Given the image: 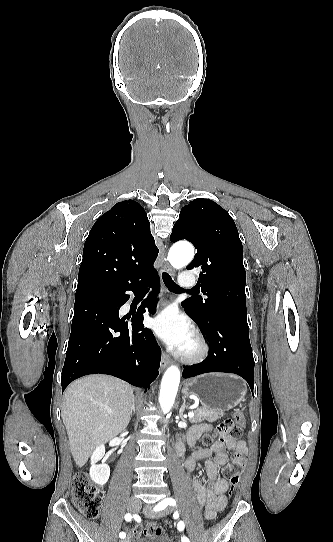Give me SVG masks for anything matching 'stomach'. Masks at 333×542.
<instances>
[{
	"label": "stomach",
	"mask_w": 333,
	"mask_h": 542,
	"mask_svg": "<svg viewBox=\"0 0 333 542\" xmlns=\"http://www.w3.org/2000/svg\"><path fill=\"white\" fill-rule=\"evenodd\" d=\"M183 394L196 396L203 408L228 412L244 400L246 390L234 374H202L184 382Z\"/></svg>",
	"instance_id": "1"
}]
</instances>
